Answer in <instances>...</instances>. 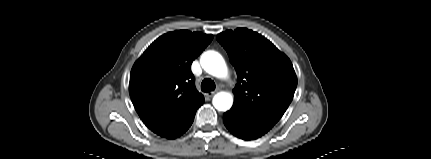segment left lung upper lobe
<instances>
[{
  "label": "left lung upper lobe",
  "instance_id": "1",
  "mask_svg": "<svg viewBox=\"0 0 431 159\" xmlns=\"http://www.w3.org/2000/svg\"><path fill=\"white\" fill-rule=\"evenodd\" d=\"M237 72L231 110L275 125L290 105L297 78L289 58L264 36L237 28L217 35Z\"/></svg>",
  "mask_w": 431,
  "mask_h": 159
}]
</instances>
